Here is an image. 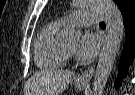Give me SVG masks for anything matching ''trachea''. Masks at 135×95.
Masks as SVG:
<instances>
[{
    "instance_id": "1",
    "label": "trachea",
    "mask_w": 135,
    "mask_h": 95,
    "mask_svg": "<svg viewBox=\"0 0 135 95\" xmlns=\"http://www.w3.org/2000/svg\"><path fill=\"white\" fill-rule=\"evenodd\" d=\"M99 25L105 26V23L104 22H101Z\"/></svg>"
}]
</instances>
